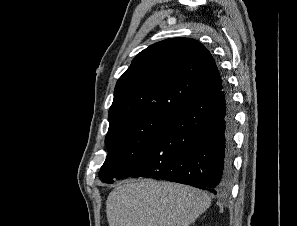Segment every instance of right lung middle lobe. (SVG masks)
Instances as JSON below:
<instances>
[{"instance_id":"1","label":"right lung middle lobe","mask_w":297,"mask_h":226,"mask_svg":"<svg viewBox=\"0 0 297 226\" xmlns=\"http://www.w3.org/2000/svg\"><path fill=\"white\" fill-rule=\"evenodd\" d=\"M172 113H144L119 120L109 125L105 143L107 158L99 178L112 183L147 148L159 131L168 123Z\"/></svg>"}]
</instances>
